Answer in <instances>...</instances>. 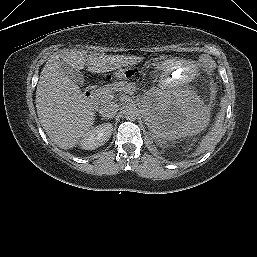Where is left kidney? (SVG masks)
Returning a JSON list of instances; mask_svg holds the SVG:
<instances>
[{
	"label": "left kidney",
	"mask_w": 257,
	"mask_h": 257,
	"mask_svg": "<svg viewBox=\"0 0 257 257\" xmlns=\"http://www.w3.org/2000/svg\"><path fill=\"white\" fill-rule=\"evenodd\" d=\"M143 116L151 134L161 142L196 135L208 122L203 102L187 90L155 94L145 103Z\"/></svg>",
	"instance_id": "5707ae66"
}]
</instances>
